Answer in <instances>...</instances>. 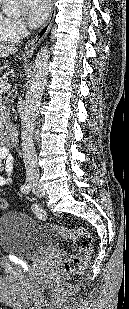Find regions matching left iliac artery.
I'll list each match as a JSON object with an SVG mask.
<instances>
[{
    "mask_svg": "<svg viewBox=\"0 0 129 309\" xmlns=\"http://www.w3.org/2000/svg\"><path fill=\"white\" fill-rule=\"evenodd\" d=\"M35 206H36V207H35V208H33V210H34V209H36V210H37V205H35Z\"/></svg>",
    "mask_w": 129,
    "mask_h": 309,
    "instance_id": "left-iliac-artery-1",
    "label": "left iliac artery"
}]
</instances>
